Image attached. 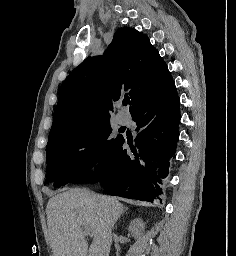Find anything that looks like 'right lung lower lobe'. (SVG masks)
Wrapping results in <instances>:
<instances>
[{"label": "right lung lower lobe", "mask_w": 236, "mask_h": 256, "mask_svg": "<svg viewBox=\"0 0 236 256\" xmlns=\"http://www.w3.org/2000/svg\"><path fill=\"white\" fill-rule=\"evenodd\" d=\"M179 103L172 81L131 112L138 125L134 143L123 137L104 162L71 182H100L110 195L150 202L160 199V184L169 174L179 138Z\"/></svg>", "instance_id": "1"}]
</instances>
